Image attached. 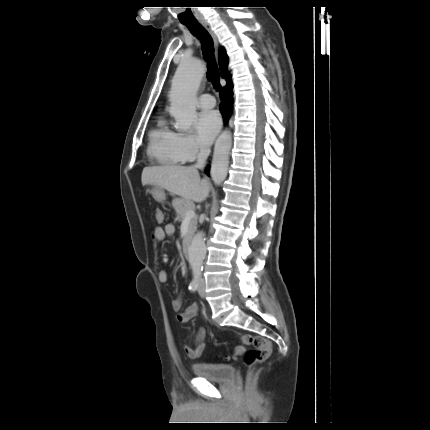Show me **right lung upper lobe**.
<instances>
[{
	"instance_id": "obj_1",
	"label": "right lung upper lobe",
	"mask_w": 430,
	"mask_h": 430,
	"mask_svg": "<svg viewBox=\"0 0 430 430\" xmlns=\"http://www.w3.org/2000/svg\"><path fill=\"white\" fill-rule=\"evenodd\" d=\"M219 66H220L221 77L227 81L226 86L231 85L232 84L231 76L227 70V68H228V57L226 55L224 48H221L219 51Z\"/></svg>"
}]
</instances>
